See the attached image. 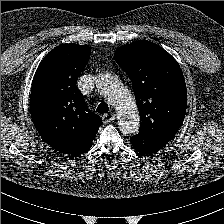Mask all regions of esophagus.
Returning <instances> with one entry per match:
<instances>
[{"label": "esophagus", "mask_w": 224, "mask_h": 224, "mask_svg": "<svg viewBox=\"0 0 224 224\" xmlns=\"http://www.w3.org/2000/svg\"><path fill=\"white\" fill-rule=\"evenodd\" d=\"M115 119L114 113H107L102 116V120L104 123H109Z\"/></svg>", "instance_id": "34e87169"}]
</instances>
